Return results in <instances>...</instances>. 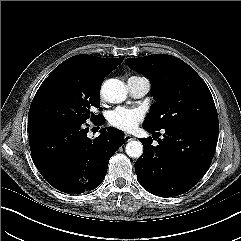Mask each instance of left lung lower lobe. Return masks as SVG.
<instances>
[{
	"mask_svg": "<svg viewBox=\"0 0 241 241\" xmlns=\"http://www.w3.org/2000/svg\"><path fill=\"white\" fill-rule=\"evenodd\" d=\"M149 133L159 130L144 127ZM158 146L142 138L144 151L135 163L138 182L160 197L181 195L207 172L215 153L219 128L200 125H173L164 128ZM155 134L160 135L159 132Z\"/></svg>",
	"mask_w": 241,
	"mask_h": 241,
	"instance_id": "obj_1",
	"label": "left lung lower lobe"
}]
</instances>
